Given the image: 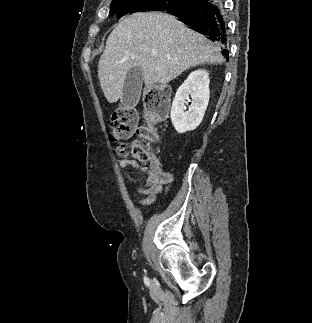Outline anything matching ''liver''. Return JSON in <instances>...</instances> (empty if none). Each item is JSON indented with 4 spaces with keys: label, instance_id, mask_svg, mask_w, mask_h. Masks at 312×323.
I'll return each mask as SVG.
<instances>
[{
    "label": "liver",
    "instance_id": "6515ba94",
    "mask_svg": "<svg viewBox=\"0 0 312 323\" xmlns=\"http://www.w3.org/2000/svg\"><path fill=\"white\" fill-rule=\"evenodd\" d=\"M223 64L224 56L202 34L164 12H138L119 20L98 62V78L110 104L122 98L127 72L142 68L147 88L169 84L188 68Z\"/></svg>",
    "mask_w": 312,
    "mask_h": 323
}]
</instances>
